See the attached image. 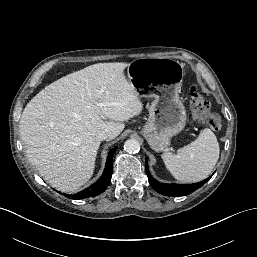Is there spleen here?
<instances>
[{
  "label": "spleen",
  "mask_w": 257,
  "mask_h": 257,
  "mask_svg": "<svg viewBox=\"0 0 257 257\" xmlns=\"http://www.w3.org/2000/svg\"><path fill=\"white\" fill-rule=\"evenodd\" d=\"M219 143L208 128L201 131L197 139L180 148L177 154L165 152L161 155L167 170L179 181H202L212 172L219 159Z\"/></svg>",
  "instance_id": "spleen-1"
}]
</instances>
